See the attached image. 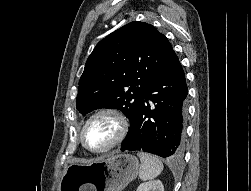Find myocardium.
I'll return each instance as SVG.
<instances>
[{
	"mask_svg": "<svg viewBox=\"0 0 251 191\" xmlns=\"http://www.w3.org/2000/svg\"><path fill=\"white\" fill-rule=\"evenodd\" d=\"M99 115H109L111 116L116 124H117V128H118V132L117 135L114 139V141L104 150L100 151V152H93L90 151L88 149H86L82 143V132L85 128V126L88 124V122ZM128 128H129V124L127 119L116 109L111 108V107H103V108H99L97 110H95L94 112H92L82 123V126L79 130L78 133V137H77V142H78V146L79 148L91 155H96V156H101L104 154H107L108 152H110L111 150H113L114 148H116L126 137L127 132H128Z\"/></svg>",
	"mask_w": 251,
	"mask_h": 191,
	"instance_id": "f54148a6",
	"label": "myocardium"
}]
</instances>
